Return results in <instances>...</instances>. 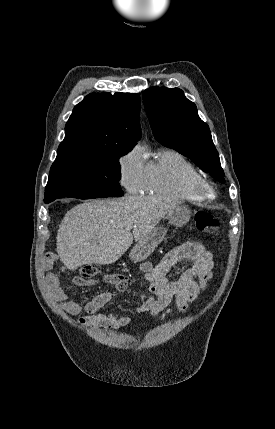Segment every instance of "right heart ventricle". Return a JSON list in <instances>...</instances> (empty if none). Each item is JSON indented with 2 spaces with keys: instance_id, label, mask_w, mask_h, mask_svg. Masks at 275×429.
Here are the masks:
<instances>
[{
  "instance_id": "obj_1",
  "label": "right heart ventricle",
  "mask_w": 275,
  "mask_h": 429,
  "mask_svg": "<svg viewBox=\"0 0 275 429\" xmlns=\"http://www.w3.org/2000/svg\"><path fill=\"white\" fill-rule=\"evenodd\" d=\"M201 176L198 168L182 153L165 148L146 163L143 190L151 195L199 202L202 199L196 194L194 183Z\"/></svg>"
}]
</instances>
